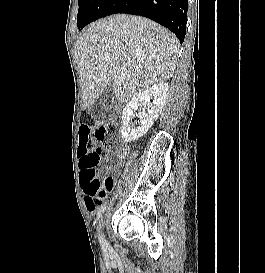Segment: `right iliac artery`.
Returning a JSON list of instances; mask_svg holds the SVG:
<instances>
[{"label":"right iliac artery","mask_w":265,"mask_h":273,"mask_svg":"<svg viewBox=\"0 0 265 273\" xmlns=\"http://www.w3.org/2000/svg\"><path fill=\"white\" fill-rule=\"evenodd\" d=\"M105 210H106V203L100 206L98 213H97V220H99V218L102 216V214L105 212ZM98 238H99L102 248H104V249L107 248L108 247L107 241L100 234H99Z\"/></svg>","instance_id":"obj_1"}]
</instances>
